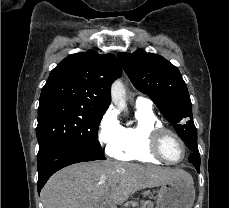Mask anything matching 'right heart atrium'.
Returning a JSON list of instances; mask_svg holds the SVG:
<instances>
[{
  "instance_id": "1",
  "label": "right heart atrium",
  "mask_w": 229,
  "mask_h": 208,
  "mask_svg": "<svg viewBox=\"0 0 229 208\" xmlns=\"http://www.w3.org/2000/svg\"><path fill=\"white\" fill-rule=\"evenodd\" d=\"M121 128L115 113L111 109L106 110L99 120L97 138L107 153L113 154L120 144Z\"/></svg>"
}]
</instances>
